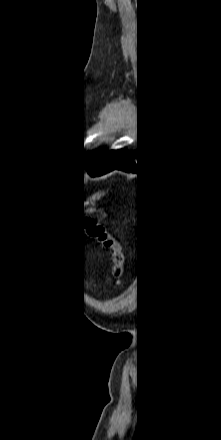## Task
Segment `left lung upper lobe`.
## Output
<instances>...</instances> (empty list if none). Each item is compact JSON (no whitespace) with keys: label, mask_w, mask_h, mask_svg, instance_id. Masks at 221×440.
<instances>
[{"label":"left lung upper lobe","mask_w":221,"mask_h":440,"mask_svg":"<svg viewBox=\"0 0 221 440\" xmlns=\"http://www.w3.org/2000/svg\"><path fill=\"white\" fill-rule=\"evenodd\" d=\"M128 151V148H122L119 150L104 151L94 154L91 157V170L97 174V171L108 168L120 161Z\"/></svg>","instance_id":"left-lung-upper-lobe-1"}]
</instances>
